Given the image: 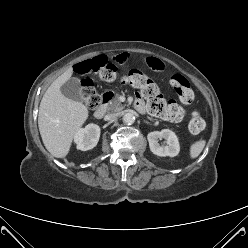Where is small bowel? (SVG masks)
Returning <instances> with one entry per match:
<instances>
[{
	"label": "small bowel",
	"instance_id": "obj_1",
	"mask_svg": "<svg viewBox=\"0 0 248 248\" xmlns=\"http://www.w3.org/2000/svg\"><path fill=\"white\" fill-rule=\"evenodd\" d=\"M114 60L119 64H123L128 60V56L126 53H122V54L116 56ZM148 65L154 70H160L161 69V63L158 60H149ZM136 102H139L141 104V107L137 108V109L140 111H144L145 106H144L143 101L141 99H137ZM180 119H181V117L174 119L173 121H180Z\"/></svg>",
	"mask_w": 248,
	"mask_h": 248
}]
</instances>
